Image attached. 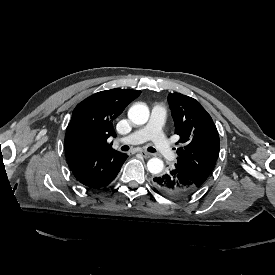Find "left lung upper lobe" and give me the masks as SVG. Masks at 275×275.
Listing matches in <instances>:
<instances>
[{"label":"left lung upper lobe","instance_id":"1","mask_svg":"<svg viewBox=\"0 0 275 275\" xmlns=\"http://www.w3.org/2000/svg\"><path fill=\"white\" fill-rule=\"evenodd\" d=\"M175 132L184 144L177 149V164L199 188L214 169L220 140L216 126L200 103L180 93L168 95Z\"/></svg>","mask_w":275,"mask_h":275}]
</instances>
